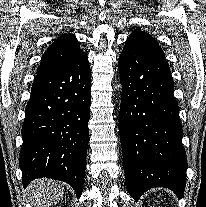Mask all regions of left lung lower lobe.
Listing matches in <instances>:
<instances>
[{"label":"left lung lower lobe","instance_id":"obj_1","mask_svg":"<svg viewBox=\"0 0 206 207\" xmlns=\"http://www.w3.org/2000/svg\"><path fill=\"white\" fill-rule=\"evenodd\" d=\"M119 68V131L127 189L135 200L154 187L171 189L181 198L187 159L169 65L125 46Z\"/></svg>","mask_w":206,"mask_h":207}]
</instances>
